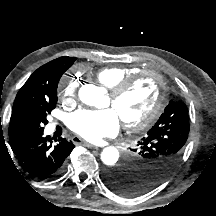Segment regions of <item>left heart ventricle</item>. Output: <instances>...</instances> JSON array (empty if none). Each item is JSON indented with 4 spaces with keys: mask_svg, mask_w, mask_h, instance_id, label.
Segmentation results:
<instances>
[{
    "mask_svg": "<svg viewBox=\"0 0 216 216\" xmlns=\"http://www.w3.org/2000/svg\"><path fill=\"white\" fill-rule=\"evenodd\" d=\"M158 94V84L151 76L141 78L122 97L109 105L121 120L135 122L144 118L151 109Z\"/></svg>",
    "mask_w": 216,
    "mask_h": 216,
    "instance_id": "1",
    "label": "left heart ventricle"
}]
</instances>
